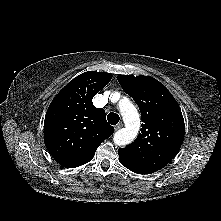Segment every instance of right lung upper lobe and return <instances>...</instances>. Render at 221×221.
<instances>
[{
    "label": "right lung upper lobe",
    "instance_id": "obj_1",
    "mask_svg": "<svg viewBox=\"0 0 221 221\" xmlns=\"http://www.w3.org/2000/svg\"><path fill=\"white\" fill-rule=\"evenodd\" d=\"M112 74L88 71L70 81L51 102L44 121V141L62 166L75 168L91 161L98 146L114 128L105 111L92 98L111 80Z\"/></svg>",
    "mask_w": 221,
    "mask_h": 221
}]
</instances>
